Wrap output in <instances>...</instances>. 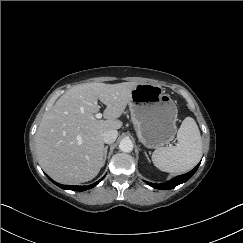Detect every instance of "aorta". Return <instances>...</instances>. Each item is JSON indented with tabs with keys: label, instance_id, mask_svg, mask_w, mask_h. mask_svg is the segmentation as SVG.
Returning <instances> with one entry per match:
<instances>
[{
	"label": "aorta",
	"instance_id": "762f6f07",
	"mask_svg": "<svg viewBox=\"0 0 243 243\" xmlns=\"http://www.w3.org/2000/svg\"><path fill=\"white\" fill-rule=\"evenodd\" d=\"M119 149L122 152H131L133 150V143L130 139L124 138L119 143Z\"/></svg>",
	"mask_w": 243,
	"mask_h": 243
}]
</instances>
